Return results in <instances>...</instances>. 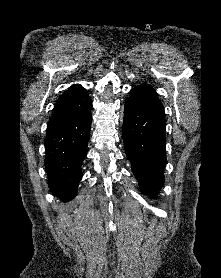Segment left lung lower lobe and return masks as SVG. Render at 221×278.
<instances>
[{"label": "left lung lower lobe", "mask_w": 221, "mask_h": 278, "mask_svg": "<svg viewBox=\"0 0 221 278\" xmlns=\"http://www.w3.org/2000/svg\"><path fill=\"white\" fill-rule=\"evenodd\" d=\"M165 116L162 105L144 106L126 100L123 141L141 190L154 197L164 181Z\"/></svg>", "instance_id": "0a47b994"}]
</instances>
